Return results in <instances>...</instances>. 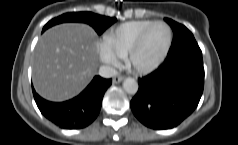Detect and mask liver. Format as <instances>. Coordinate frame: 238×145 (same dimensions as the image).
Returning a JSON list of instances; mask_svg holds the SVG:
<instances>
[{
	"label": "liver",
	"instance_id": "obj_1",
	"mask_svg": "<svg viewBox=\"0 0 238 145\" xmlns=\"http://www.w3.org/2000/svg\"><path fill=\"white\" fill-rule=\"evenodd\" d=\"M98 68V38L86 24L67 23L48 29L33 57V84L43 98L61 102L79 94Z\"/></svg>",
	"mask_w": 238,
	"mask_h": 145
}]
</instances>
